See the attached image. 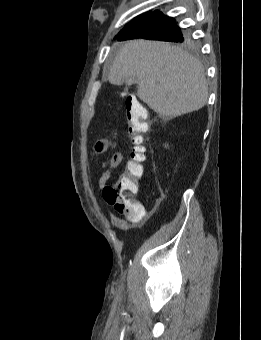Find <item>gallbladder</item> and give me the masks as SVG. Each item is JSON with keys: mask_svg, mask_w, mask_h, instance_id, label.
<instances>
[{"mask_svg": "<svg viewBox=\"0 0 261 340\" xmlns=\"http://www.w3.org/2000/svg\"><path fill=\"white\" fill-rule=\"evenodd\" d=\"M135 81H132V82H128L127 85H131V84H134Z\"/></svg>", "mask_w": 261, "mask_h": 340, "instance_id": "gallbladder-1", "label": "gallbladder"}]
</instances>
